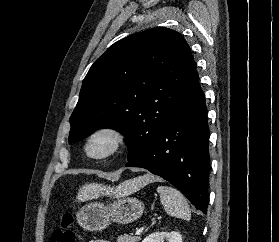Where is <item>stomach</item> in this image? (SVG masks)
<instances>
[{
	"label": "stomach",
	"instance_id": "0dacf381",
	"mask_svg": "<svg viewBox=\"0 0 279 242\" xmlns=\"http://www.w3.org/2000/svg\"><path fill=\"white\" fill-rule=\"evenodd\" d=\"M122 193L113 203L92 202L76 213L77 223L87 231H101L112 223L128 224L139 219L144 212L140 200L129 197L121 186Z\"/></svg>",
	"mask_w": 279,
	"mask_h": 242
}]
</instances>
